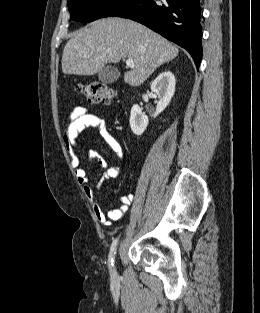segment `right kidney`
<instances>
[{"mask_svg":"<svg viewBox=\"0 0 260 313\" xmlns=\"http://www.w3.org/2000/svg\"><path fill=\"white\" fill-rule=\"evenodd\" d=\"M176 79L174 74L166 70L162 72L151 84V91L158 95L156 111L153 117H157L170 103L175 92ZM149 123L148 117L142 112V108L135 104L131 108L130 127L132 132L140 136L146 130Z\"/></svg>","mask_w":260,"mask_h":313,"instance_id":"right-kidney-1","label":"right kidney"}]
</instances>
